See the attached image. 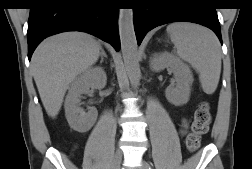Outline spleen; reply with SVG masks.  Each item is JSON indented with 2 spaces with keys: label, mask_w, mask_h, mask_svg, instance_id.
Segmentation results:
<instances>
[{
  "label": "spleen",
  "mask_w": 252,
  "mask_h": 169,
  "mask_svg": "<svg viewBox=\"0 0 252 169\" xmlns=\"http://www.w3.org/2000/svg\"><path fill=\"white\" fill-rule=\"evenodd\" d=\"M179 56L198 73L203 91L212 94L218 85L221 71L219 48L214 35L207 29L179 24L171 27Z\"/></svg>",
  "instance_id": "1"
}]
</instances>
